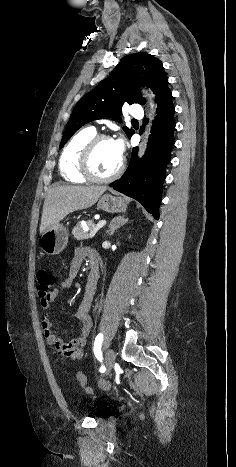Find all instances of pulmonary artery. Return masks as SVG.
I'll return each mask as SVG.
<instances>
[{"mask_svg":"<svg viewBox=\"0 0 236 467\" xmlns=\"http://www.w3.org/2000/svg\"><path fill=\"white\" fill-rule=\"evenodd\" d=\"M130 115L133 116L134 118L141 119L144 115L142 106L138 103L133 104L130 110ZM92 128L96 130L95 126H92Z\"/></svg>","mask_w":236,"mask_h":467,"instance_id":"pulmonary-artery-1","label":"pulmonary artery"}]
</instances>
